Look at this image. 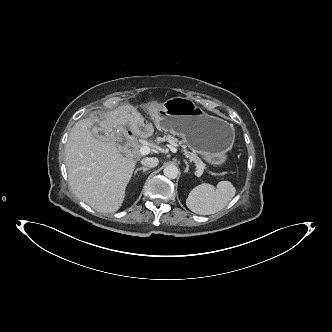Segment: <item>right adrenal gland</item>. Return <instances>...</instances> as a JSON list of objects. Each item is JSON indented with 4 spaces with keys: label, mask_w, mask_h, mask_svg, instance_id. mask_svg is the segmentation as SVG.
<instances>
[{
    "label": "right adrenal gland",
    "mask_w": 332,
    "mask_h": 332,
    "mask_svg": "<svg viewBox=\"0 0 332 332\" xmlns=\"http://www.w3.org/2000/svg\"><path fill=\"white\" fill-rule=\"evenodd\" d=\"M149 169H150V168H148V167H140V168H137V169L135 170V172H134V175H136L137 172L140 171V170H142L143 172H145V171H148Z\"/></svg>",
    "instance_id": "2a0ac1e0"
}]
</instances>
